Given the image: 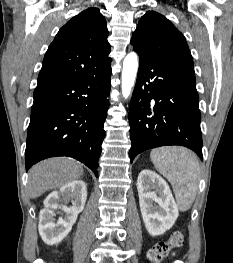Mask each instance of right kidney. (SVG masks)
<instances>
[{
  "mask_svg": "<svg viewBox=\"0 0 233 263\" xmlns=\"http://www.w3.org/2000/svg\"><path fill=\"white\" fill-rule=\"evenodd\" d=\"M86 199L87 188L82 180L69 182L46 197L44 209L39 214L38 228L47 245H56L69 234L78 214L84 209ZM69 201L72 202L71 207L63 204ZM56 213L61 215L58 220L55 219Z\"/></svg>",
  "mask_w": 233,
  "mask_h": 263,
  "instance_id": "ca27d5eb",
  "label": "right kidney"
}]
</instances>
